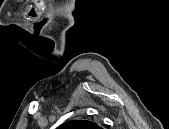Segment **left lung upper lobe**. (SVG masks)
I'll list each match as a JSON object with an SVG mask.
<instances>
[{"mask_svg": "<svg viewBox=\"0 0 169 129\" xmlns=\"http://www.w3.org/2000/svg\"><path fill=\"white\" fill-rule=\"evenodd\" d=\"M60 129H100V127L91 121L73 120L62 124Z\"/></svg>", "mask_w": 169, "mask_h": 129, "instance_id": "1", "label": "left lung upper lobe"}]
</instances>
